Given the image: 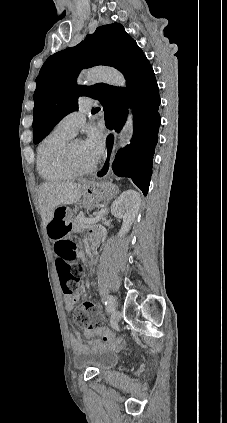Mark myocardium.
<instances>
[{
	"label": "myocardium",
	"instance_id": "myocardium-1",
	"mask_svg": "<svg viewBox=\"0 0 227 423\" xmlns=\"http://www.w3.org/2000/svg\"><path fill=\"white\" fill-rule=\"evenodd\" d=\"M80 141L79 139H73L66 143L62 152H61V159L62 164L69 176H83L91 173L94 170V166H90L85 169H78L74 165L73 157H72V147L75 142Z\"/></svg>",
	"mask_w": 227,
	"mask_h": 423
}]
</instances>
